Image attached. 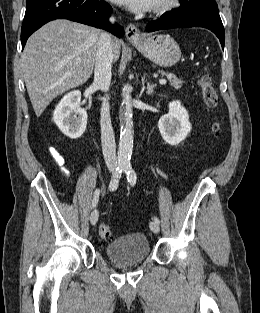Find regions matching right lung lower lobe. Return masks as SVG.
Segmentation results:
<instances>
[{
	"label": "right lung lower lobe",
	"instance_id": "98d812e1",
	"mask_svg": "<svg viewBox=\"0 0 260 313\" xmlns=\"http://www.w3.org/2000/svg\"><path fill=\"white\" fill-rule=\"evenodd\" d=\"M111 12V6L99 0H27L21 29L22 47L33 32L54 19H69L122 37L123 27L108 22Z\"/></svg>",
	"mask_w": 260,
	"mask_h": 313
}]
</instances>
